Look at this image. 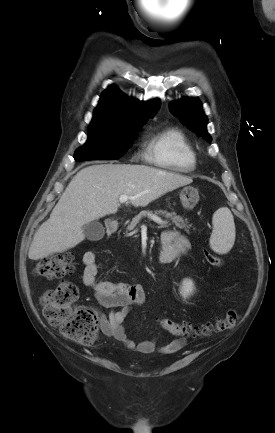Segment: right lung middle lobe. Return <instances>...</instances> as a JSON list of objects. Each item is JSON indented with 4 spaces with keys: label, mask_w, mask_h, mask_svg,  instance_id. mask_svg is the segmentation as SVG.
I'll list each match as a JSON object with an SVG mask.
<instances>
[{
    "label": "right lung middle lobe",
    "mask_w": 275,
    "mask_h": 433,
    "mask_svg": "<svg viewBox=\"0 0 275 433\" xmlns=\"http://www.w3.org/2000/svg\"><path fill=\"white\" fill-rule=\"evenodd\" d=\"M146 122L105 124L91 122L86 143L78 148L74 158L85 160H116L129 149Z\"/></svg>",
    "instance_id": "dd1d6c3e"
}]
</instances>
